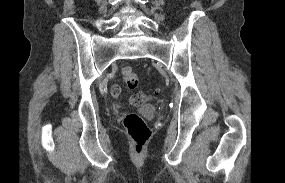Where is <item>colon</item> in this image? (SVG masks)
<instances>
[{
    "label": "colon",
    "mask_w": 285,
    "mask_h": 183,
    "mask_svg": "<svg viewBox=\"0 0 285 183\" xmlns=\"http://www.w3.org/2000/svg\"><path fill=\"white\" fill-rule=\"evenodd\" d=\"M122 77L129 89H134L138 85V75L136 71L131 67H124L122 70ZM145 98V95L141 92L136 93L131 98L132 104H140ZM124 127L132 139L135 150L141 152L151 136V131L147 126L144 119L136 114L129 113L124 117Z\"/></svg>",
    "instance_id": "5ec220e1"
}]
</instances>
